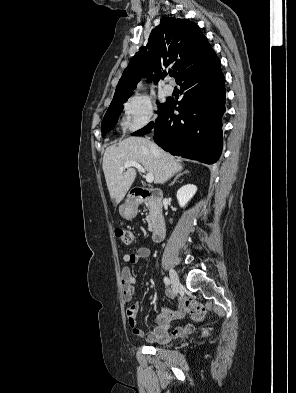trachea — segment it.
Returning a JSON list of instances; mask_svg holds the SVG:
<instances>
[{"label":"trachea","mask_w":296,"mask_h":393,"mask_svg":"<svg viewBox=\"0 0 296 393\" xmlns=\"http://www.w3.org/2000/svg\"><path fill=\"white\" fill-rule=\"evenodd\" d=\"M169 75L172 77L173 76V72H170Z\"/></svg>","instance_id":"1"}]
</instances>
